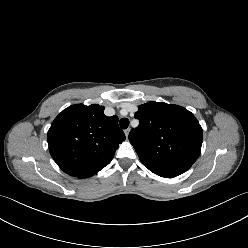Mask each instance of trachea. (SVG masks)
<instances>
[{
  "label": "trachea",
  "instance_id": "1",
  "mask_svg": "<svg viewBox=\"0 0 248 248\" xmlns=\"http://www.w3.org/2000/svg\"><path fill=\"white\" fill-rule=\"evenodd\" d=\"M119 124H120V127L122 129H127L129 126V119L128 118H122V119H120Z\"/></svg>",
  "mask_w": 248,
  "mask_h": 248
}]
</instances>
